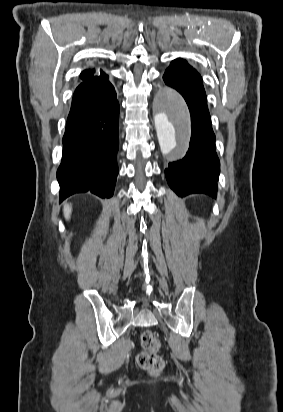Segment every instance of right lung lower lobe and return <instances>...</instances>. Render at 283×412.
I'll return each mask as SVG.
<instances>
[{"label":"right lung lower lobe","mask_w":283,"mask_h":412,"mask_svg":"<svg viewBox=\"0 0 283 412\" xmlns=\"http://www.w3.org/2000/svg\"><path fill=\"white\" fill-rule=\"evenodd\" d=\"M119 103L107 77L85 79L75 90L57 170L60 202L91 192L113 195L118 167Z\"/></svg>","instance_id":"1"}]
</instances>
